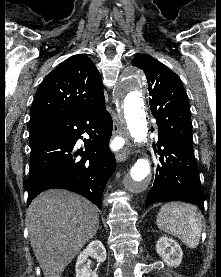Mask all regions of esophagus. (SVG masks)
<instances>
[{
	"instance_id": "34e87169",
	"label": "esophagus",
	"mask_w": 221,
	"mask_h": 277,
	"mask_svg": "<svg viewBox=\"0 0 221 277\" xmlns=\"http://www.w3.org/2000/svg\"><path fill=\"white\" fill-rule=\"evenodd\" d=\"M113 136H123V137H128V132L123 126L117 117H114L113 119ZM130 155V149L129 145H126L122 150L118 151L115 155L116 161L118 163L124 162L128 156Z\"/></svg>"
}]
</instances>
